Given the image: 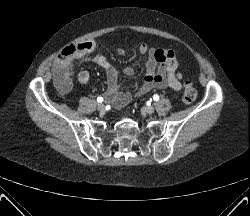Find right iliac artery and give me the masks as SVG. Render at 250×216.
<instances>
[{
	"mask_svg": "<svg viewBox=\"0 0 250 216\" xmlns=\"http://www.w3.org/2000/svg\"><path fill=\"white\" fill-rule=\"evenodd\" d=\"M97 102H99V103L103 102V98L102 97H98L97 98Z\"/></svg>",
	"mask_w": 250,
	"mask_h": 216,
	"instance_id": "right-iliac-artery-1",
	"label": "right iliac artery"
}]
</instances>
